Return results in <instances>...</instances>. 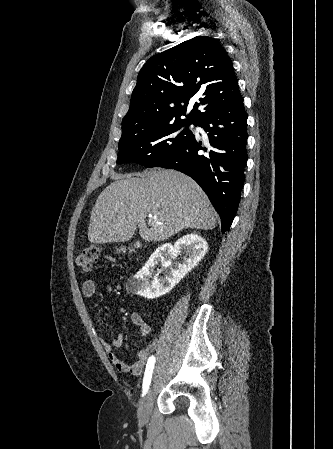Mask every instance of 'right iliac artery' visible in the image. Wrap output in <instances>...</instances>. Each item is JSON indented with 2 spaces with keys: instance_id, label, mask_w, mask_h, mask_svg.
I'll use <instances>...</instances> for the list:
<instances>
[{
  "instance_id": "82829eb1",
  "label": "right iliac artery",
  "mask_w": 333,
  "mask_h": 449,
  "mask_svg": "<svg viewBox=\"0 0 333 449\" xmlns=\"http://www.w3.org/2000/svg\"><path fill=\"white\" fill-rule=\"evenodd\" d=\"M154 364H155V357L151 356L148 359L147 364H146V369H145V374H144V379H143V394H146V392L149 389Z\"/></svg>"
}]
</instances>
